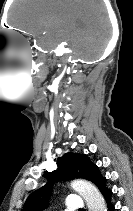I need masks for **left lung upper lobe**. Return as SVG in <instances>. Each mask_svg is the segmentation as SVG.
Here are the masks:
<instances>
[{
    "label": "left lung upper lobe",
    "instance_id": "obj_1",
    "mask_svg": "<svg viewBox=\"0 0 133 211\" xmlns=\"http://www.w3.org/2000/svg\"><path fill=\"white\" fill-rule=\"evenodd\" d=\"M57 169L47 172L48 182L27 198L22 211H43L48 207L53 185L57 181L84 178L94 183L100 191L106 188V178L98 167L84 154L66 153L57 159Z\"/></svg>",
    "mask_w": 133,
    "mask_h": 211
}]
</instances>
